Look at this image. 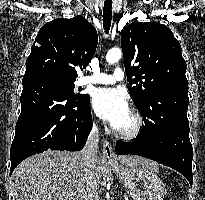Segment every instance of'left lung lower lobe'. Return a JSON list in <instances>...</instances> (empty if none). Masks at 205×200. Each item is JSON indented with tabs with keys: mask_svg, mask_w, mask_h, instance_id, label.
Here are the masks:
<instances>
[{
	"mask_svg": "<svg viewBox=\"0 0 205 200\" xmlns=\"http://www.w3.org/2000/svg\"><path fill=\"white\" fill-rule=\"evenodd\" d=\"M188 88L169 87L154 91L150 99L153 119L140 130L136 140L118 141L117 154L140 155L169 166L193 183V148L189 139L187 118ZM162 109V111H160Z\"/></svg>",
	"mask_w": 205,
	"mask_h": 200,
	"instance_id": "obj_1",
	"label": "left lung lower lobe"
}]
</instances>
